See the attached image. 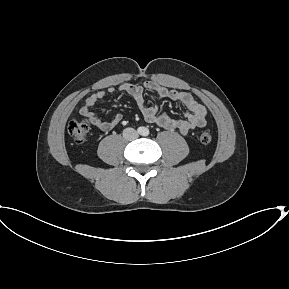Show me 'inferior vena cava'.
<instances>
[{
	"label": "inferior vena cava",
	"mask_w": 289,
	"mask_h": 289,
	"mask_svg": "<svg viewBox=\"0 0 289 289\" xmlns=\"http://www.w3.org/2000/svg\"><path fill=\"white\" fill-rule=\"evenodd\" d=\"M123 137L128 141H132L138 137V133L133 128H126L123 130Z\"/></svg>",
	"instance_id": "inferior-vena-cava-1"
}]
</instances>
